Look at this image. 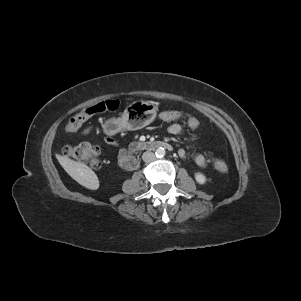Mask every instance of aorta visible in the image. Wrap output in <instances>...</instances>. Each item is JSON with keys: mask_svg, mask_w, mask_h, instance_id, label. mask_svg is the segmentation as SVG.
Listing matches in <instances>:
<instances>
[{"mask_svg": "<svg viewBox=\"0 0 301 301\" xmlns=\"http://www.w3.org/2000/svg\"><path fill=\"white\" fill-rule=\"evenodd\" d=\"M165 153H166V152H165V149L162 148V147L157 148L156 151H155V155H156V157H158V158L164 157V156H165Z\"/></svg>", "mask_w": 301, "mask_h": 301, "instance_id": "1", "label": "aorta"}]
</instances>
